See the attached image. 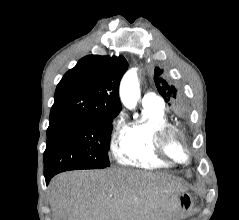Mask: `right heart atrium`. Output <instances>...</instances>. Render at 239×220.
<instances>
[{
    "label": "right heart atrium",
    "instance_id": "right-heart-atrium-1",
    "mask_svg": "<svg viewBox=\"0 0 239 220\" xmlns=\"http://www.w3.org/2000/svg\"><path fill=\"white\" fill-rule=\"evenodd\" d=\"M128 125L125 122L123 114H117L111 122L109 134V148L115 153L117 147L127 134Z\"/></svg>",
    "mask_w": 239,
    "mask_h": 220
}]
</instances>
